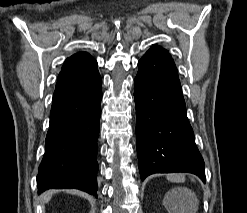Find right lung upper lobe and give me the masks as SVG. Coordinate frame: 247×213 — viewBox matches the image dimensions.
Returning a JSON list of instances; mask_svg holds the SVG:
<instances>
[{"label":"right lung upper lobe","instance_id":"1","mask_svg":"<svg viewBox=\"0 0 247 213\" xmlns=\"http://www.w3.org/2000/svg\"><path fill=\"white\" fill-rule=\"evenodd\" d=\"M96 66V60L89 53L78 52L65 60L58 79L90 70Z\"/></svg>","mask_w":247,"mask_h":213}]
</instances>
